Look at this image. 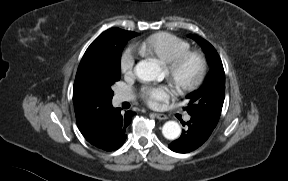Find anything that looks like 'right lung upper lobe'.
<instances>
[{
	"label": "right lung upper lobe",
	"instance_id": "obj_1",
	"mask_svg": "<svg viewBox=\"0 0 288 181\" xmlns=\"http://www.w3.org/2000/svg\"><path fill=\"white\" fill-rule=\"evenodd\" d=\"M114 32H121L130 38L138 35L119 28H111L102 33L86 50L78 67L73 87V103L78 128L86 140L98 148L104 147L111 135L110 117L113 106L111 100L86 79L85 73L94 60L101 42Z\"/></svg>",
	"mask_w": 288,
	"mask_h": 181
}]
</instances>
